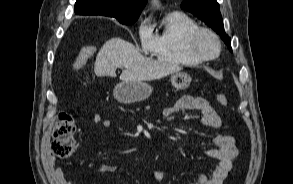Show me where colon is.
<instances>
[{
  "mask_svg": "<svg viewBox=\"0 0 293 184\" xmlns=\"http://www.w3.org/2000/svg\"><path fill=\"white\" fill-rule=\"evenodd\" d=\"M93 45L82 48L73 62V68L79 69L95 53ZM216 100L221 106L228 105V98L223 93L216 94ZM76 123L71 114L65 111L58 113L53 128V141L51 144V156L57 159H65L71 156L75 150L74 134Z\"/></svg>",
  "mask_w": 293,
  "mask_h": 184,
  "instance_id": "colon-1",
  "label": "colon"
}]
</instances>
